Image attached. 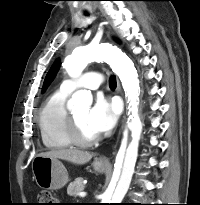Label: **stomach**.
Segmentation results:
<instances>
[{
    "label": "stomach",
    "instance_id": "obj_1",
    "mask_svg": "<svg viewBox=\"0 0 200 205\" xmlns=\"http://www.w3.org/2000/svg\"><path fill=\"white\" fill-rule=\"evenodd\" d=\"M92 165L97 172H104L108 168L98 160H95ZM32 172L37 185L43 189H60L68 182L67 170L56 158L35 156L32 160Z\"/></svg>",
    "mask_w": 200,
    "mask_h": 205
}]
</instances>
